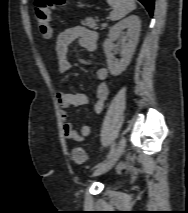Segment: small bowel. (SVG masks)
<instances>
[{
    "label": "small bowel",
    "instance_id": "obj_1",
    "mask_svg": "<svg viewBox=\"0 0 188 213\" xmlns=\"http://www.w3.org/2000/svg\"><path fill=\"white\" fill-rule=\"evenodd\" d=\"M78 41L80 45L89 52L97 48V35L94 31L80 25L69 27L62 31L57 39L55 51L58 69L65 73L70 69L68 59L69 46ZM96 77L98 85L95 93L94 111L101 113L106 105L109 96V86L107 83L108 71L105 66L98 65L96 68ZM57 101L61 107V118L63 121V131L67 139L82 142L91 133V126L84 124L80 130H77L68 119V109L70 107H79L88 103V98L83 93H74L68 91H59L56 94Z\"/></svg>",
    "mask_w": 188,
    "mask_h": 213
}]
</instances>
